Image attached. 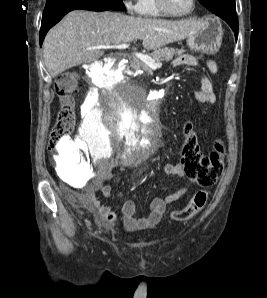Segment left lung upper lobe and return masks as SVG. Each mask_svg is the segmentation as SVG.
<instances>
[{"label":"left lung upper lobe","mask_w":267,"mask_h":298,"mask_svg":"<svg viewBox=\"0 0 267 298\" xmlns=\"http://www.w3.org/2000/svg\"><path fill=\"white\" fill-rule=\"evenodd\" d=\"M199 2L217 16L236 13L235 0H199Z\"/></svg>","instance_id":"left-lung-upper-lobe-1"}]
</instances>
